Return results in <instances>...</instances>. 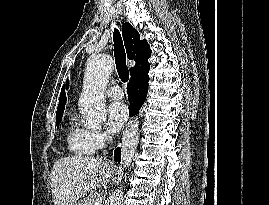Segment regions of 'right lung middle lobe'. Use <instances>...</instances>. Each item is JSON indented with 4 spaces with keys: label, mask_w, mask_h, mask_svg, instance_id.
<instances>
[{
    "label": "right lung middle lobe",
    "mask_w": 269,
    "mask_h": 205,
    "mask_svg": "<svg viewBox=\"0 0 269 205\" xmlns=\"http://www.w3.org/2000/svg\"><path fill=\"white\" fill-rule=\"evenodd\" d=\"M62 120V116L56 117V125L58 126Z\"/></svg>",
    "instance_id": "right-lung-middle-lobe-1"
}]
</instances>
